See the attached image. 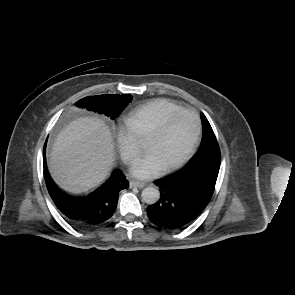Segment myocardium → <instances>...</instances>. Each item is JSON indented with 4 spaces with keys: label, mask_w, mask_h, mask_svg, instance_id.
I'll return each instance as SVG.
<instances>
[{
    "label": "myocardium",
    "mask_w": 295,
    "mask_h": 295,
    "mask_svg": "<svg viewBox=\"0 0 295 295\" xmlns=\"http://www.w3.org/2000/svg\"><path fill=\"white\" fill-rule=\"evenodd\" d=\"M180 114H190L194 117L195 124H196L195 134H194L193 140H192L188 150L185 152V154L182 157H180L178 160L162 167V171H164V172L171 171V170H174V169L182 166L194 154V152L197 148L199 139H200V135H201V120H200L198 113L192 109H185V108H182L180 110L172 112L166 118H164V120L158 125V127L146 139V142H147V141H155V140L159 139L160 137H162V135L165 133L166 128L169 125V123L176 116H178Z\"/></svg>",
    "instance_id": "myocardium-1"
}]
</instances>
